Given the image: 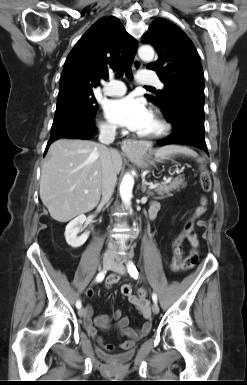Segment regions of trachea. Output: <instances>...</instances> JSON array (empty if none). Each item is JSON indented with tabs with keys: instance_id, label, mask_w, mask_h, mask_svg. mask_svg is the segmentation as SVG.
<instances>
[{
	"instance_id": "obj_1",
	"label": "trachea",
	"mask_w": 247,
	"mask_h": 385,
	"mask_svg": "<svg viewBox=\"0 0 247 385\" xmlns=\"http://www.w3.org/2000/svg\"><path fill=\"white\" fill-rule=\"evenodd\" d=\"M124 73H125L127 78L132 79L133 74H132V70L129 66H127V67L126 66H120L116 71V77L120 78L123 76Z\"/></svg>"
}]
</instances>
